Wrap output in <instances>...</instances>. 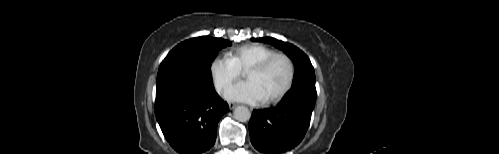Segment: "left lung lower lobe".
<instances>
[{"label":"left lung lower lobe","instance_id":"obj_1","mask_svg":"<svg viewBox=\"0 0 499 154\" xmlns=\"http://www.w3.org/2000/svg\"><path fill=\"white\" fill-rule=\"evenodd\" d=\"M315 102V84L298 85L276 107L254 110L249 122L252 145L274 154L297 146L309 127Z\"/></svg>","mask_w":499,"mask_h":154}]
</instances>
